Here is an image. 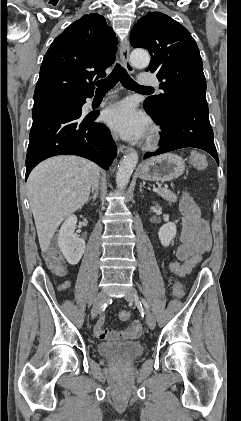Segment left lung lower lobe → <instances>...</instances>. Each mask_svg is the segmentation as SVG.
<instances>
[{"label":"left lung lower lobe","mask_w":241,"mask_h":421,"mask_svg":"<svg viewBox=\"0 0 241 421\" xmlns=\"http://www.w3.org/2000/svg\"><path fill=\"white\" fill-rule=\"evenodd\" d=\"M146 112L161 126L163 132L160 136L161 147L145 154L144 159L180 148L195 147L211 154L219 164L205 97H189L170 111L166 121L147 109Z\"/></svg>","instance_id":"1"}]
</instances>
